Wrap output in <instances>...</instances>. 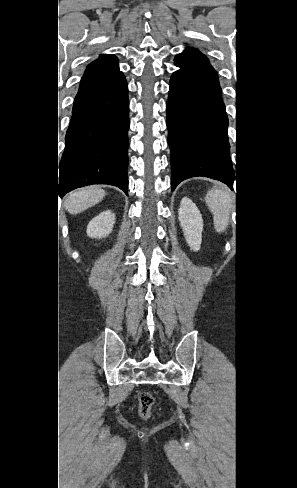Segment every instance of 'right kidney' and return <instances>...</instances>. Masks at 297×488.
<instances>
[{"label": "right kidney", "instance_id": "1", "mask_svg": "<svg viewBox=\"0 0 297 488\" xmlns=\"http://www.w3.org/2000/svg\"><path fill=\"white\" fill-rule=\"evenodd\" d=\"M115 223V215L107 210L95 216L87 226V235L91 238H105L112 230Z\"/></svg>", "mask_w": 297, "mask_h": 488}]
</instances>
